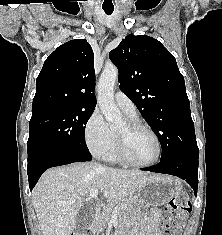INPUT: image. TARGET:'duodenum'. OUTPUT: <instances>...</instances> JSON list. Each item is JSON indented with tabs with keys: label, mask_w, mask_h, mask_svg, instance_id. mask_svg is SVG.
Here are the masks:
<instances>
[{
	"label": "duodenum",
	"mask_w": 222,
	"mask_h": 235,
	"mask_svg": "<svg viewBox=\"0 0 222 235\" xmlns=\"http://www.w3.org/2000/svg\"><path fill=\"white\" fill-rule=\"evenodd\" d=\"M100 211H101V208L100 207H96L95 214L98 215L100 213Z\"/></svg>",
	"instance_id": "410a0bca"
}]
</instances>
